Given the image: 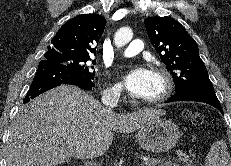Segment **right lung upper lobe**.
<instances>
[{
  "mask_svg": "<svg viewBox=\"0 0 231 166\" xmlns=\"http://www.w3.org/2000/svg\"><path fill=\"white\" fill-rule=\"evenodd\" d=\"M104 27L105 18L101 15H78L58 30L45 56L92 57Z\"/></svg>",
  "mask_w": 231,
  "mask_h": 166,
  "instance_id": "obj_1",
  "label": "right lung upper lobe"
}]
</instances>
